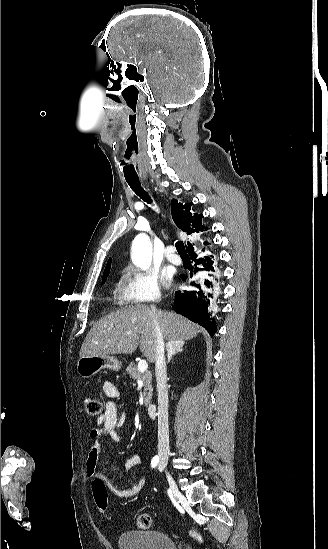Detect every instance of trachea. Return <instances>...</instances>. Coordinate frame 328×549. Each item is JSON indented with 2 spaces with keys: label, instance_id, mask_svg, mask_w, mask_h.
<instances>
[{
  "label": "trachea",
  "instance_id": "trachea-1",
  "mask_svg": "<svg viewBox=\"0 0 328 549\" xmlns=\"http://www.w3.org/2000/svg\"><path fill=\"white\" fill-rule=\"evenodd\" d=\"M127 183L131 187V189L141 198L143 201H145L148 204L152 203V200L148 193L142 188L140 184V180H127ZM175 247L179 253V255H187V252L185 250L184 244L181 241L176 242Z\"/></svg>",
  "mask_w": 328,
  "mask_h": 549
}]
</instances>
